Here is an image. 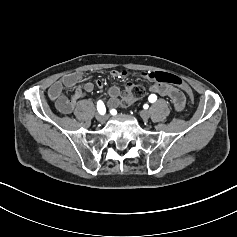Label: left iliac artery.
<instances>
[{
    "instance_id": "left-iliac-artery-1",
    "label": "left iliac artery",
    "mask_w": 237,
    "mask_h": 237,
    "mask_svg": "<svg viewBox=\"0 0 237 237\" xmlns=\"http://www.w3.org/2000/svg\"><path fill=\"white\" fill-rule=\"evenodd\" d=\"M148 100L149 102L154 103L157 100V96L155 94H151Z\"/></svg>"
}]
</instances>
